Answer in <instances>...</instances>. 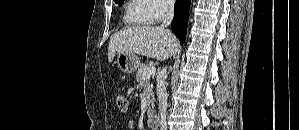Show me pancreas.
Here are the masks:
<instances>
[{"instance_id": "1", "label": "pancreas", "mask_w": 299, "mask_h": 130, "mask_svg": "<svg viewBox=\"0 0 299 130\" xmlns=\"http://www.w3.org/2000/svg\"><path fill=\"white\" fill-rule=\"evenodd\" d=\"M149 66L146 64H140L137 73H136V81L138 83V88H141L144 90L145 96H146V100H147V106H148V110L147 113L148 115H151L154 111V94H153V90H152V85L150 84L149 79H144L143 78V72L148 69Z\"/></svg>"}]
</instances>
